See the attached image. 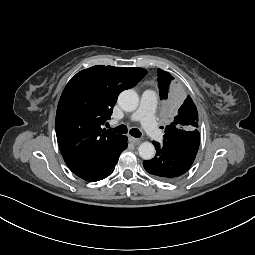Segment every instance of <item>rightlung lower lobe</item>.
<instances>
[{
    "mask_svg": "<svg viewBox=\"0 0 255 255\" xmlns=\"http://www.w3.org/2000/svg\"><path fill=\"white\" fill-rule=\"evenodd\" d=\"M127 147V137L120 145V147L105 156L100 157L95 162H93L88 168L80 171V172H73L78 177L89 181V182H96L108 177L115 168L116 163L118 162L119 156L122 151H124Z\"/></svg>",
    "mask_w": 255,
    "mask_h": 255,
    "instance_id": "1",
    "label": "right lung lower lobe"
}]
</instances>
